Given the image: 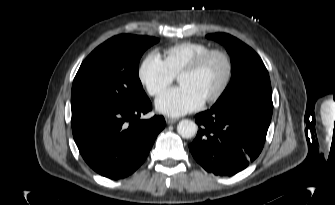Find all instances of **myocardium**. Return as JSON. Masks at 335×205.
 I'll use <instances>...</instances> for the list:
<instances>
[{
  "label": "myocardium",
  "mask_w": 335,
  "mask_h": 205,
  "mask_svg": "<svg viewBox=\"0 0 335 205\" xmlns=\"http://www.w3.org/2000/svg\"><path fill=\"white\" fill-rule=\"evenodd\" d=\"M213 56H220L224 60L225 65H226V73H225V77L219 89L212 96L205 99L204 100L205 103H214L218 101L227 91L230 85L232 76H233V63H232L230 56L221 49H210L206 51L205 53L201 54L199 57H197L191 64L185 67L178 74V78H179L183 75H190V74L197 73L203 68V66L207 63V61Z\"/></svg>",
  "instance_id": "myocardium-1"
}]
</instances>
